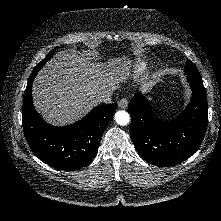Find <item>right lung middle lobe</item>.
Instances as JSON below:
<instances>
[{
	"mask_svg": "<svg viewBox=\"0 0 221 221\" xmlns=\"http://www.w3.org/2000/svg\"><path fill=\"white\" fill-rule=\"evenodd\" d=\"M55 50L51 51L40 63L36 65L32 73L37 74L38 71L43 67V65L50 59V57L54 54Z\"/></svg>",
	"mask_w": 221,
	"mask_h": 221,
	"instance_id": "1",
	"label": "right lung middle lobe"
}]
</instances>
